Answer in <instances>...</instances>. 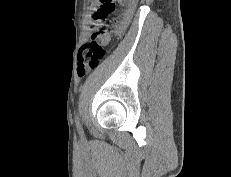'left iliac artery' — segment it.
I'll list each match as a JSON object with an SVG mask.
<instances>
[{
  "mask_svg": "<svg viewBox=\"0 0 231 177\" xmlns=\"http://www.w3.org/2000/svg\"><path fill=\"white\" fill-rule=\"evenodd\" d=\"M76 123H77L78 129L81 131V125H80V123H79V119H78L77 116H76Z\"/></svg>",
  "mask_w": 231,
  "mask_h": 177,
  "instance_id": "44dca946",
  "label": "left iliac artery"
}]
</instances>
